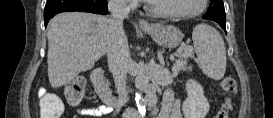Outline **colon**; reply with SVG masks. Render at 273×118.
Returning a JSON list of instances; mask_svg holds the SVG:
<instances>
[{
	"label": "colon",
	"mask_w": 273,
	"mask_h": 118,
	"mask_svg": "<svg viewBox=\"0 0 273 118\" xmlns=\"http://www.w3.org/2000/svg\"><path fill=\"white\" fill-rule=\"evenodd\" d=\"M221 87L227 94L215 118H227L232 108V95L237 90V83L233 77H225L221 81ZM85 95L84 82L81 79L72 81L66 91L67 100L70 104L79 103ZM63 102L56 95L41 90L39 92V112L41 118H58L63 112Z\"/></svg>",
	"instance_id": "colon-1"
}]
</instances>
